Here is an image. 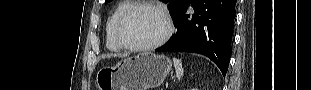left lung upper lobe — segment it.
<instances>
[{
    "mask_svg": "<svg viewBox=\"0 0 311 90\" xmlns=\"http://www.w3.org/2000/svg\"><path fill=\"white\" fill-rule=\"evenodd\" d=\"M111 0H105V3L110 2ZM168 4L169 11L173 15L174 19L177 20L179 15L182 13V11L186 8V6L192 1V0H166Z\"/></svg>",
    "mask_w": 311,
    "mask_h": 90,
    "instance_id": "left-lung-upper-lobe-1",
    "label": "left lung upper lobe"
}]
</instances>
